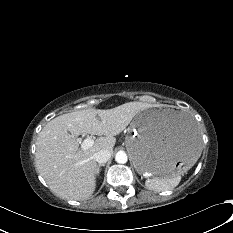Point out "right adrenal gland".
Segmentation results:
<instances>
[{
  "label": "right adrenal gland",
  "instance_id": "1",
  "mask_svg": "<svg viewBox=\"0 0 233 233\" xmlns=\"http://www.w3.org/2000/svg\"><path fill=\"white\" fill-rule=\"evenodd\" d=\"M102 166H105V164H99V165H97V170L100 171V167H102Z\"/></svg>",
  "mask_w": 233,
  "mask_h": 233
}]
</instances>
